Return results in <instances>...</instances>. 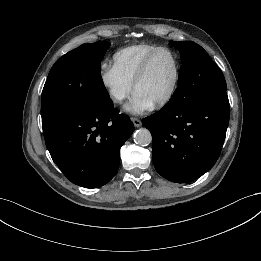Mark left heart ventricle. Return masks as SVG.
Listing matches in <instances>:
<instances>
[{
    "instance_id": "b2bd125f",
    "label": "left heart ventricle",
    "mask_w": 261,
    "mask_h": 261,
    "mask_svg": "<svg viewBox=\"0 0 261 261\" xmlns=\"http://www.w3.org/2000/svg\"><path fill=\"white\" fill-rule=\"evenodd\" d=\"M173 77L172 56L167 52H160L152 60L147 75L138 84L135 91L142 93L154 104L168 92Z\"/></svg>"
}]
</instances>
